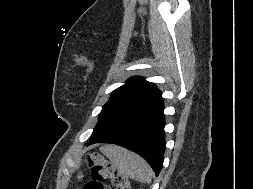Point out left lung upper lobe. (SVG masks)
<instances>
[{"mask_svg": "<svg viewBox=\"0 0 253 189\" xmlns=\"http://www.w3.org/2000/svg\"><path fill=\"white\" fill-rule=\"evenodd\" d=\"M162 100L161 91L155 84L142 77H132L112 92L99 114L91 136H99L115 129Z\"/></svg>", "mask_w": 253, "mask_h": 189, "instance_id": "1", "label": "left lung upper lobe"}]
</instances>
